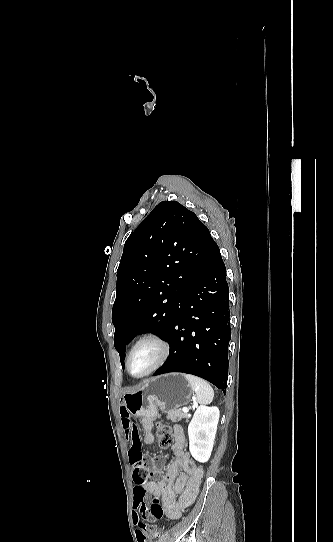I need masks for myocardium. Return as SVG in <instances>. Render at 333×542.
Instances as JSON below:
<instances>
[{
    "instance_id": "myocardium-1",
    "label": "myocardium",
    "mask_w": 333,
    "mask_h": 542,
    "mask_svg": "<svg viewBox=\"0 0 333 542\" xmlns=\"http://www.w3.org/2000/svg\"><path fill=\"white\" fill-rule=\"evenodd\" d=\"M146 343H152V344H154L156 346V348L158 350V357H157L155 363L147 371H145L142 374H138V375L133 374L130 371L131 358H132L133 354L136 352V350L139 347H141L142 345L146 344ZM169 356H170V346L167 343V341L163 337H161L160 335H157V334H154V333H148V334H145V335L141 336L139 339H137L134 342V344L131 346V348H130L127 356H126V359H125V369H126L127 373L133 378H136V379L144 378V377H147V376L153 374L157 370H159L167 362Z\"/></svg>"
}]
</instances>
